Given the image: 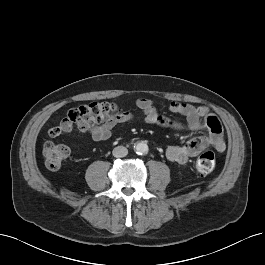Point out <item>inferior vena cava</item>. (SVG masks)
<instances>
[{"mask_svg":"<svg viewBox=\"0 0 265 265\" xmlns=\"http://www.w3.org/2000/svg\"><path fill=\"white\" fill-rule=\"evenodd\" d=\"M112 153L116 158L125 157L128 154V149L124 146H117L113 149Z\"/></svg>","mask_w":265,"mask_h":265,"instance_id":"obj_1","label":"inferior vena cava"}]
</instances>
